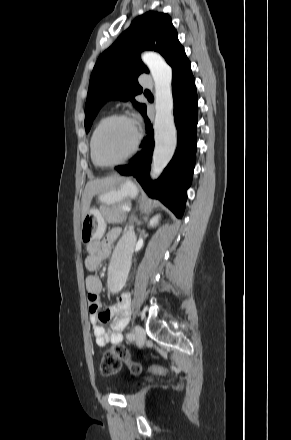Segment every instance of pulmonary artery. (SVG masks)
Here are the masks:
<instances>
[{
  "label": "pulmonary artery",
  "instance_id": "pulmonary-artery-1",
  "mask_svg": "<svg viewBox=\"0 0 291 440\" xmlns=\"http://www.w3.org/2000/svg\"><path fill=\"white\" fill-rule=\"evenodd\" d=\"M139 83L143 86L152 87L151 78L148 74H145V73H143L139 76Z\"/></svg>",
  "mask_w": 291,
  "mask_h": 440
}]
</instances>
